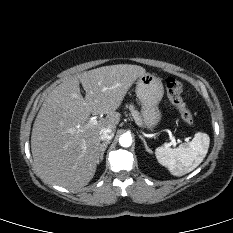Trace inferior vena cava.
Instances as JSON below:
<instances>
[{"label":"inferior vena cava","mask_w":233,"mask_h":233,"mask_svg":"<svg viewBox=\"0 0 233 233\" xmlns=\"http://www.w3.org/2000/svg\"><path fill=\"white\" fill-rule=\"evenodd\" d=\"M114 137V131L111 128H103L100 131V139L102 141H109Z\"/></svg>","instance_id":"obj_1"}]
</instances>
